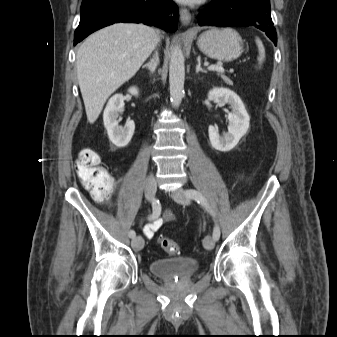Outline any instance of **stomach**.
Here are the masks:
<instances>
[{
    "label": "stomach",
    "instance_id": "stomach-1",
    "mask_svg": "<svg viewBox=\"0 0 337 337\" xmlns=\"http://www.w3.org/2000/svg\"><path fill=\"white\" fill-rule=\"evenodd\" d=\"M197 45L205 55L219 61H233L243 52L242 38L230 28H212L204 32Z\"/></svg>",
    "mask_w": 337,
    "mask_h": 337
}]
</instances>
